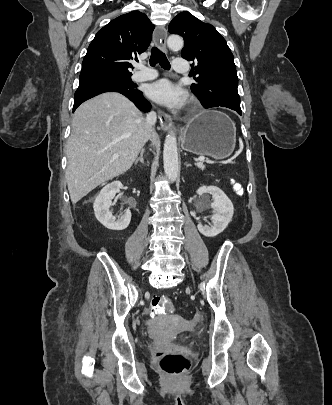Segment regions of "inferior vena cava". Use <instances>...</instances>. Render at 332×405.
<instances>
[{
	"instance_id": "602c4592",
	"label": "inferior vena cava",
	"mask_w": 332,
	"mask_h": 405,
	"mask_svg": "<svg viewBox=\"0 0 332 405\" xmlns=\"http://www.w3.org/2000/svg\"><path fill=\"white\" fill-rule=\"evenodd\" d=\"M157 120V116L155 112H149L145 118V122L147 124V128L150 134L154 133V126Z\"/></svg>"
}]
</instances>
